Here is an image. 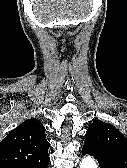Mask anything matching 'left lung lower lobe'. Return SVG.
I'll use <instances>...</instances> for the list:
<instances>
[{
	"instance_id": "0a47b994",
	"label": "left lung lower lobe",
	"mask_w": 127,
	"mask_h": 168,
	"mask_svg": "<svg viewBox=\"0 0 127 168\" xmlns=\"http://www.w3.org/2000/svg\"><path fill=\"white\" fill-rule=\"evenodd\" d=\"M82 154L94 156L99 162L100 168H119L108 154L99 148L83 146Z\"/></svg>"
}]
</instances>
